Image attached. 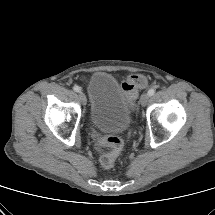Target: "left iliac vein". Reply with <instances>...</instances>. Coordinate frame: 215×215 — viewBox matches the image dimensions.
I'll list each match as a JSON object with an SVG mask.
<instances>
[{"instance_id": "4c4485c4", "label": "left iliac vein", "mask_w": 215, "mask_h": 215, "mask_svg": "<svg viewBox=\"0 0 215 215\" xmlns=\"http://www.w3.org/2000/svg\"><path fill=\"white\" fill-rule=\"evenodd\" d=\"M149 101V94L148 93H144L141 98H140V103L142 106H145Z\"/></svg>"}]
</instances>
